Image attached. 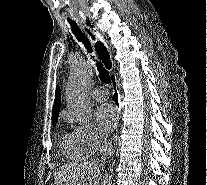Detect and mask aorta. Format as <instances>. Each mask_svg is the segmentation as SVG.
<instances>
[{
	"mask_svg": "<svg viewBox=\"0 0 207 185\" xmlns=\"http://www.w3.org/2000/svg\"><path fill=\"white\" fill-rule=\"evenodd\" d=\"M93 77V65L89 61L72 65L66 85L68 109L79 123H87L92 117L89 87Z\"/></svg>",
	"mask_w": 207,
	"mask_h": 185,
	"instance_id": "aorta-1",
	"label": "aorta"
}]
</instances>
